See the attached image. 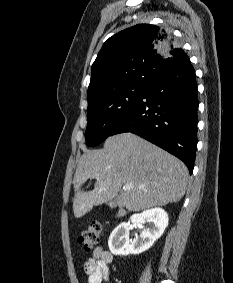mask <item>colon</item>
I'll list each match as a JSON object with an SVG mask.
<instances>
[{
    "label": "colon",
    "instance_id": "5ec220e1",
    "mask_svg": "<svg viewBox=\"0 0 233 283\" xmlns=\"http://www.w3.org/2000/svg\"><path fill=\"white\" fill-rule=\"evenodd\" d=\"M101 231V223L97 220L91 221L79 235L78 242L86 249H90L98 243Z\"/></svg>",
    "mask_w": 233,
    "mask_h": 283
}]
</instances>
